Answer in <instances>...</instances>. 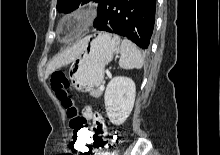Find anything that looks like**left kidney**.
Returning a JSON list of instances; mask_svg holds the SVG:
<instances>
[{
    "instance_id": "1",
    "label": "left kidney",
    "mask_w": 220,
    "mask_h": 155,
    "mask_svg": "<svg viewBox=\"0 0 220 155\" xmlns=\"http://www.w3.org/2000/svg\"><path fill=\"white\" fill-rule=\"evenodd\" d=\"M135 96L136 87L131 78L116 76L108 83L104 100L112 124L119 126L126 121L133 109Z\"/></svg>"
}]
</instances>
